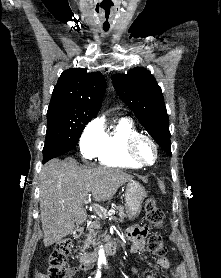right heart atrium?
Instances as JSON below:
<instances>
[{"mask_svg":"<svg viewBox=\"0 0 221 278\" xmlns=\"http://www.w3.org/2000/svg\"><path fill=\"white\" fill-rule=\"evenodd\" d=\"M104 137L103 123L99 118L90 121L82 131L79 140L80 153L84 159L96 157Z\"/></svg>","mask_w":221,"mask_h":278,"instance_id":"right-heart-atrium-1","label":"right heart atrium"}]
</instances>
